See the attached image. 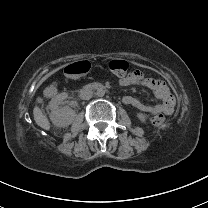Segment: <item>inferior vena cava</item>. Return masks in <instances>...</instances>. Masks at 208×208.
<instances>
[{
    "label": "inferior vena cava",
    "mask_w": 208,
    "mask_h": 208,
    "mask_svg": "<svg viewBox=\"0 0 208 208\" xmlns=\"http://www.w3.org/2000/svg\"><path fill=\"white\" fill-rule=\"evenodd\" d=\"M92 96H93L92 90H90L89 88L83 87V88L80 90L79 97H80L82 100H89V99L92 98Z\"/></svg>",
    "instance_id": "obj_1"
}]
</instances>
